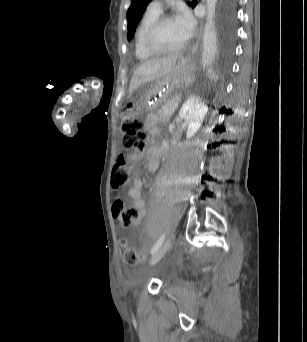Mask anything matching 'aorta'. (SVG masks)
Returning a JSON list of instances; mask_svg holds the SVG:
<instances>
[{"label": "aorta", "instance_id": "1", "mask_svg": "<svg viewBox=\"0 0 307 342\" xmlns=\"http://www.w3.org/2000/svg\"><path fill=\"white\" fill-rule=\"evenodd\" d=\"M217 0H206V24L203 34V54L201 64L206 68V66H211L214 62L218 50L217 46V34L215 28V10H216Z\"/></svg>", "mask_w": 307, "mask_h": 342}]
</instances>
